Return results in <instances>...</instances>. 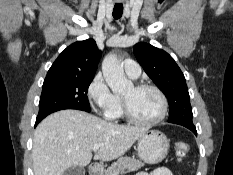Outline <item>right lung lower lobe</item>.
I'll list each match as a JSON object with an SVG mask.
<instances>
[{
  "instance_id": "1",
  "label": "right lung lower lobe",
  "mask_w": 233,
  "mask_h": 175,
  "mask_svg": "<svg viewBox=\"0 0 233 175\" xmlns=\"http://www.w3.org/2000/svg\"><path fill=\"white\" fill-rule=\"evenodd\" d=\"M45 117H46V116H45ZM45 117L37 118V119H36L35 126H37V124H38L41 120H43Z\"/></svg>"
}]
</instances>
